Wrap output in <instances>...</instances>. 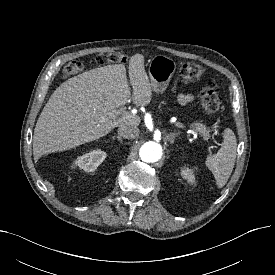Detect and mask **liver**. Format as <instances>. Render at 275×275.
Listing matches in <instances>:
<instances>
[{"instance_id": "6515ba94", "label": "liver", "mask_w": 275, "mask_h": 275, "mask_svg": "<svg viewBox=\"0 0 275 275\" xmlns=\"http://www.w3.org/2000/svg\"><path fill=\"white\" fill-rule=\"evenodd\" d=\"M129 78L132 93L125 66L114 64L84 72L56 88L36 123L34 159L95 141L121 125L138 126L140 117L123 106L131 98L136 106L151 102L142 54L130 57Z\"/></svg>"}]
</instances>
